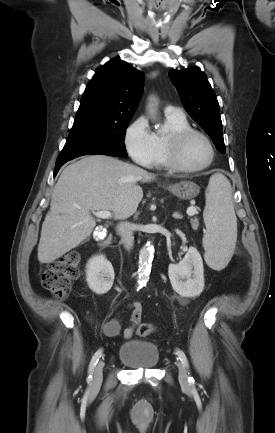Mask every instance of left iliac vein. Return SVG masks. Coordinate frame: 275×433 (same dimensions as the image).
Wrapping results in <instances>:
<instances>
[{"label":"left iliac vein","instance_id":"1","mask_svg":"<svg viewBox=\"0 0 275 433\" xmlns=\"http://www.w3.org/2000/svg\"><path fill=\"white\" fill-rule=\"evenodd\" d=\"M177 367L179 371V381L186 385L188 383L187 372L182 362H177Z\"/></svg>","mask_w":275,"mask_h":433}]
</instances>
